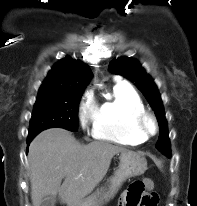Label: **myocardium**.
<instances>
[{"label":"myocardium","instance_id":"1","mask_svg":"<svg viewBox=\"0 0 197 206\" xmlns=\"http://www.w3.org/2000/svg\"><path fill=\"white\" fill-rule=\"evenodd\" d=\"M135 127L137 132L146 139L155 135L158 131L155 116L146 110L135 116Z\"/></svg>","mask_w":197,"mask_h":206}]
</instances>
